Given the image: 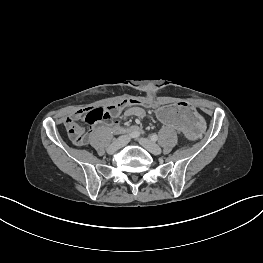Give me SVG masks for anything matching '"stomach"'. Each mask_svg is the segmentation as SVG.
<instances>
[{
	"mask_svg": "<svg viewBox=\"0 0 263 263\" xmlns=\"http://www.w3.org/2000/svg\"><path fill=\"white\" fill-rule=\"evenodd\" d=\"M158 123L166 125L185 139L193 140L204 135L207 125L204 118L189 105L175 102L163 104L156 108L154 113Z\"/></svg>",
	"mask_w": 263,
	"mask_h": 263,
	"instance_id": "stomach-1",
	"label": "stomach"
}]
</instances>
